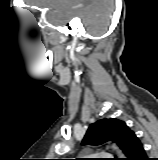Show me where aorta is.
I'll return each mask as SVG.
<instances>
[{
	"mask_svg": "<svg viewBox=\"0 0 158 160\" xmlns=\"http://www.w3.org/2000/svg\"><path fill=\"white\" fill-rule=\"evenodd\" d=\"M112 149L116 152V155L120 158L124 157V153L119 149V147L115 144L111 145Z\"/></svg>",
	"mask_w": 158,
	"mask_h": 160,
	"instance_id": "obj_1",
	"label": "aorta"
}]
</instances>
